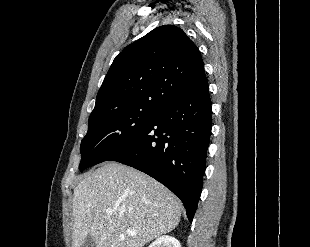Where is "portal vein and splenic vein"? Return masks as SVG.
I'll list each match as a JSON object with an SVG mask.
<instances>
[{"label":"portal vein and splenic vein","mask_w":310,"mask_h":247,"mask_svg":"<svg viewBox=\"0 0 310 247\" xmlns=\"http://www.w3.org/2000/svg\"><path fill=\"white\" fill-rule=\"evenodd\" d=\"M106 213L110 215V214H112V211H111V210H107ZM127 233H128L129 235H136V234H137V231L128 229V230H127Z\"/></svg>","instance_id":"portal-vein-and-splenic-vein-1"}]
</instances>
